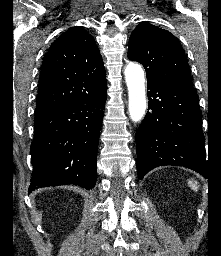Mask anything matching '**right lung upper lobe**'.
Wrapping results in <instances>:
<instances>
[{"mask_svg":"<svg viewBox=\"0 0 221 256\" xmlns=\"http://www.w3.org/2000/svg\"><path fill=\"white\" fill-rule=\"evenodd\" d=\"M106 87V72L94 38L81 26L71 27L44 56L35 115Z\"/></svg>","mask_w":221,"mask_h":256,"instance_id":"right-lung-upper-lobe-1","label":"right lung upper lobe"}]
</instances>
